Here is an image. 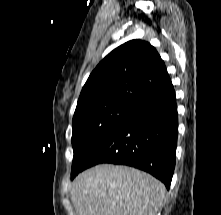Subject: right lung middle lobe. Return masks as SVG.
Instances as JSON below:
<instances>
[{
    "label": "right lung middle lobe",
    "instance_id": "right-lung-middle-lobe-1",
    "mask_svg": "<svg viewBox=\"0 0 221 215\" xmlns=\"http://www.w3.org/2000/svg\"><path fill=\"white\" fill-rule=\"evenodd\" d=\"M133 106L131 103L109 100L76 107L73 117L74 157L71 177L85 168L93 152Z\"/></svg>",
    "mask_w": 221,
    "mask_h": 215
}]
</instances>
